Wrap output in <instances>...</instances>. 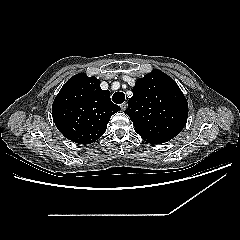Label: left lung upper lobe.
<instances>
[{
  "instance_id": "obj_1",
  "label": "left lung upper lobe",
  "mask_w": 240,
  "mask_h": 240,
  "mask_svg": "<svg viewBox=\"0 0 240 240\" xmlns=\"http://www.w3.org/2000/svg\"><path fill=\"white\" fill-rule=\"evenodd\" d=\"M125 113L146 142H167L185 126L188 103L171 77L153 70L136 81Z\"/></svg>"
}]
</instances>
